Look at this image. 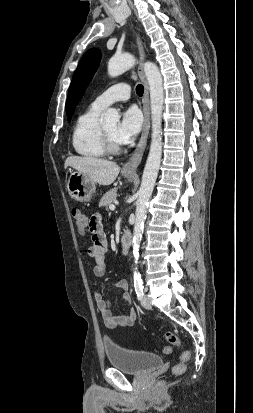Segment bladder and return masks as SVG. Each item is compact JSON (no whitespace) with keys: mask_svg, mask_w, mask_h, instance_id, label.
<instances>
[{"mask_svg":"<svg viewBox=\"0 0 253 413\" xmlns=\"http://www.w3.org/2000/svg\"><path fill=\"white\" fill-rule=\"evenodd\" d=\"M104 352L112 367L133 375L145 374L163 364L158 354L128 349L109 341L104 342Z\"/></svg>","mask_w":253,"mask_h":413,"instance_id":"bladder-1","label":"bladder"}]
</instances>
